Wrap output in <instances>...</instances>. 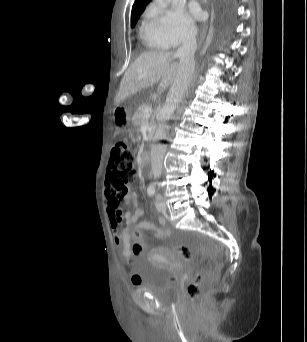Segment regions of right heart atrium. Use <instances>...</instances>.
Masks as SVG:
<instances>
[{
	"label": "right heart atrium",
	"instance_id": "right-heart-atrium-1",
	"mask_svg": "<svg viewBox=\"0 0 307 342\" xmlns=\"http://www.w3.org/2000/svg\"><path fill=\"white\" fill-rule=\"evenodd\" d=\"M192 32V26L182 20L178 11L165 9L155 15L151 27L143 33L166 47H176Z\"/></svg>",
	"mask_w": 307,
	"mask_h": 342
}]
</instances>
